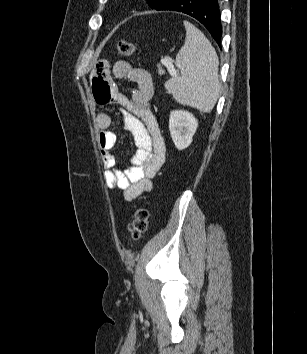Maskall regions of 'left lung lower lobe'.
Segmentation results:
<instances>
[{
    "label": "left lung lower lobe",
    "instance_id": "left-lung-lower-lobe-1",
    "mask_svg": "<svg viewBox=\"0 0 307 354\" xmlns=\"http://www.w3.org/2000/svg\"><path fill=\"white\" fill-rule=\"evenodd\" d=\"M159 10L183 12L197 19L221 47L222 26L218 0H170Z\"/></svg>",
    "mask_w": 307,
    "mask_h": 354
}]
</instances>
